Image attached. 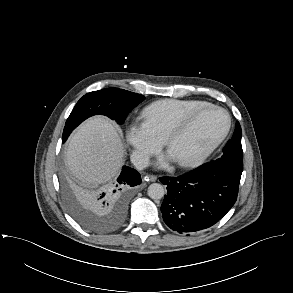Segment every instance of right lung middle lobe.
Instances as JSON below:
<instances>
[{
	"label": "right lung middle lobe",
	"mask_w": 293,
	"mask_h": 293,
	"mask_svg": "<svg viewBox=\"0 0 293 293\" xmlns=\"http://www.w3.org/2000/svg\"><path fill=\"white\" fill-rule=\"evenodd\" d=\"M145 97L119 88H106L84 95L75 105L64 127V143L72 130L90 116L101 114L114 119L118 124L124 123L132 111ZM62 191L65 203L73 217L86 229L106 232L115 225L112 215L94 212L84 201L82 190L71 183L64 182Z\"/></svg>",
	"instance_id": "obj_1"
}]
</instances>
